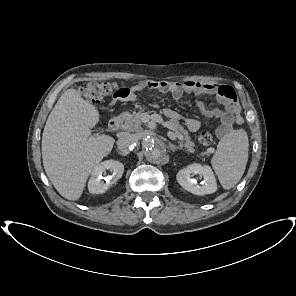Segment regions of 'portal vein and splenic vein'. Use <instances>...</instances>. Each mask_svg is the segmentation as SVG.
Returning a JSON list of instances; mask_svg holds the SVG:
<instances>
[{"label":"portal vein and splenic vein","mask_w":296,"mask_h":296,"mask_svg":"<svg viewBox=\"0 0 296 296\" xmlns=\"http://www.w3.org/2000/svg\"><path fill=\"white\" fill-rule=\"evenodd\" d=\"M149 120L156 121V122H160V123H162L164 126H166V124L162 121L161 117H160L159 115H157V114H153V115H151V116L146 115V116H145V121L147 122V121H149ZM168 137H169L171 140H175L177 136H176L175 133H173V132H168Z\"/></svg>","instance_id":"18ae733b"}]
</instances>
